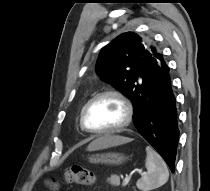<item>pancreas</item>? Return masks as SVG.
<instances>
[{
	"label": "pancreas",
	"instance_id": "cf45deb5",
	"mask_svg": "<svg viewBox=\"0 0 210 191\" xmlns=\"http://www.w3.org/2000/svg\"><path fill=\"white\" fill-rule=\"evenodd\" d=\"M107 181L113 186H117L120 183V179L117 175H112L110 178L107 179Z\"/></svg>",
	"mask_w": 210,
	"mask_h": 191
}]
</instances>
